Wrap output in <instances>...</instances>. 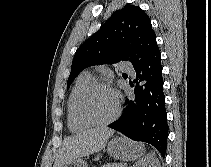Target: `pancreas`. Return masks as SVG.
Segmentation results:
<instances>
[{
  "instance_id": "cf45deb5",
  "label": "pancreas",
  "mask_w": 211,
  "mask_h": 167,
  "mask_svg": "<svg viewBox=\"0 0 211 167\" xmlns=\"http://www.w3.org/2000/svg\"><path fill=\"white\" fill-rule=\"evenodd\" d=\"M101 167H124V166L122 164H118V163H107Z\"/></svg>"
}]
</instances>
